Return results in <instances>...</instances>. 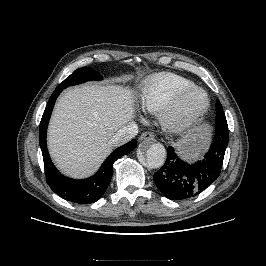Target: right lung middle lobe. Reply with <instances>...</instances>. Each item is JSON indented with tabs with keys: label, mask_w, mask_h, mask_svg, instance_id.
Returning <instances> with one entry per match:
<instances>
[{
	"label": "right lung middle lobe",
	"mask_w": 266,
	"mask_h": 266,
	"mask_svg": "<svg viewBox=\"0 0 266 266\" xmlns=\"http://www.w3.org/2000/svg\"><path fill=\"white\" fill-rule=\"evenodd\" d=\"M90 80H102L99 73L88 68H79L75 70L67 79H65L58 88L65 89L68 86L80 84Z\"/></svg>",
	"instance_id": "right-lung-middle-lobe-1"
}]
</instances>
